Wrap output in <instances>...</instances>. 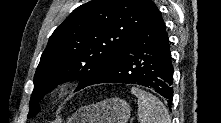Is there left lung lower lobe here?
Listing matches in <instances>:
<instances>
[{
  "instance_id": "0a47b994",
  "label": "left lung lower lobe",
  "mask_w": 221,
  "mask_h": 123,
  "mask_svg": "<svg viewBox=\"0 0 221 123\" xmlns=\"http://www.w3.org/2000/svg\"><path fill=\"white\" fill-rule=\"evenodd\" d=\"M173 72L169 38L158 10L121 55L87 86L100 83L138 84L155 90L171 106Z\"/></svg>"
}]
</instances>
